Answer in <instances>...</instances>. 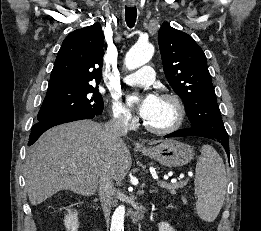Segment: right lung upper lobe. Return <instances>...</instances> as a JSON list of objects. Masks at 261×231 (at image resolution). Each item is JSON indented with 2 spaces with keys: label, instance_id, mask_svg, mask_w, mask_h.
Returning <instances> with one entry per match:
<instances>
[{
  "label": "right lung upper lobe",
  "instance_id": "1",
  "mask_svg": "<svg viewBox=\"0 0 261 231\" xmlns=\"http://www.w3.org/2000/svg\"><path fill=\"white\" fill-rule=\"evenodd\" d=\"M103 46L104 35L99 23L71 32L58 52L48 88L99 84Z\"/></svg>",
  "mask_w": 261,
  "mask_h": 231
}]
</instances>
